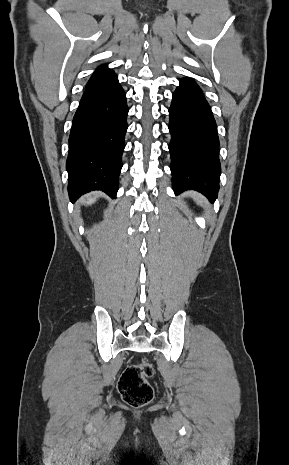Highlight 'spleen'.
Here are the masks:
<instances>
[{"label":"spleen","mask_w":289,"mask_h":465,"mask_svg":"<svg viewBox=\"0 0 289 465\" xmlns=\"http://www.w3.org/2000/svg\"><path fill=\"white\" fill-rule=\"evenodd\" d=\"M192 196H193L194 199L197 201V203H200V204H201V203L205 202L204 197H203L202 195L198 194V193L193 192V193H192Z\"/></svg>","instance_id":"3e777b00"}]
</instances>
